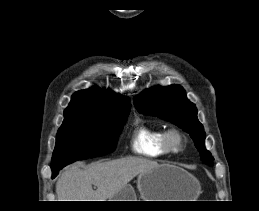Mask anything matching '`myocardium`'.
Returning a JSON list of instances; mask_svg holds the SVG:
<instances>
[{
	"label": "myocardium",
	"instance_id": "obj_1",
	"mask_svg": "<svg viewBox=\"0 0 259 211\" xmlns=\"http://www.w3.org/2000/svg\"><path fill=\"white\" fill-rule=\"evenodd\" d=\"M186 138L184 134L176 129L166 130L164 135V145L169 153H179L185 147Z\"/></svg>",
	"mask_w": 259,
	"mask_h": 211
}]
</instances>
